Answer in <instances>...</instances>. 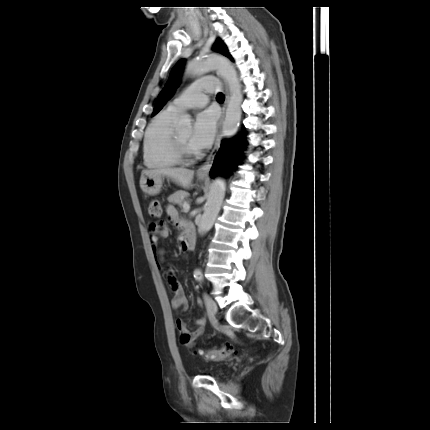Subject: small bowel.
<instances>
[{"mask_svg":"<svg viewBox=\"0 0 430 430\" xmlns=\"http://www.w3.org/2000/svg\"><path fill=\"white\" fill-rule=\"evenodd\" d=\"M166 212L168 215V219L172 224L179 228H184L185 233H192L191 227L180 220L178 212L173 206H167ZM167 234L168 230L164 223L154 222L150 224L149 240L159 268L162 267L161 263L163 261L164 250L158 246V243L159 240L161 238H165ZM170 284L174 292V295L171 299L172 308L174 310H186L188 306V300L182 286L173 277L170 278ZM195 323L197 326L196 329L193 331H189L183 319L178 318L176 320V326L180 332V342L183 346L187 348H192L196 340L203 334L206 324V318L203 316L199 317L198 319H196Z\"/></svg>","mask_w":430,"mask_h":430,"instance_id":"obj_1","label":"small bowel"}]
</instances>
